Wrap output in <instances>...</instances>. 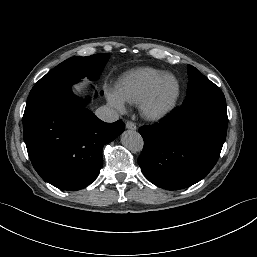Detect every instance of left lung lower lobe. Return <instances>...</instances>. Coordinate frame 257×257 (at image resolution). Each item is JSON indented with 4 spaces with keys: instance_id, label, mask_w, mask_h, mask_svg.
I'll return each instance as SVG.
<instances>
[{
    "instance_id": "left-lung-lower-lobe-1",
    "label": "left lung lower lobe",
    "mask_w": 257,
    "mask_h": 257,
    "mask_svg": "<svg viewBox=\"0 0 257 257\" xmlns=\"http://www.w3.org/2000/svg\"><path fill=\"white\" fill-rule=\"evenodd\" d=\"M227 125L225 99L183 104L159 123L139 128L144 139L141 171L168 190L199 182L219 158Z\"/></svg>"
}]
</instances>
